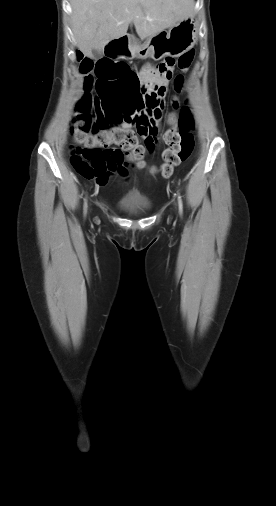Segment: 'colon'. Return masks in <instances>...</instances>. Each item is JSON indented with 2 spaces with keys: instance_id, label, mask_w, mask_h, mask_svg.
Listing matches in <instances>:
<instances>
[{
  "instance_id": "5ec220e1",
  "label": "colon",
  "mask_w": 276,
  "mask_h": 506,
  "mask_svg": "<svg viewBox=\"0 0 276 506\" xmlns=\"http://www.w3.org/2000/svg\"><path fill=\"white\" fill-rule=\"evenodd\" d=\"M70 57L78 59L79 72L83 76L85 92L79 97L71 130L76 147L72 148L70 162L74 170L87 179L97 178L108 167L112 156L125 157L135 168L145 166L143 157L147 150L153 148L156 135L151 133L152 118L163 103L166 93L163 87L138 80L142 77L140 69H127V60L133 58H104L102 54L97 62L85 50L70 52ZM194 50L183 53L177 60L182 72L191 67ZM175 64L173 58H167L158 65V70L168 79L172 76ZM95 70V77L91 71ZM184 76L178 74L173 81L174 89L180 92ZM95 85L98 97H92L88 91ZM172 105L179 113L171 112L167 117L170 128L163 134L167 149L163 152V164L159 172L169 178L175 166L188 160L194 150V120L188 107H180L176 98ZM117 123L135 125L139 134H147L145 145L138 142L134 131L127 128L113 127ZM118 145L119 149L111 147ZM152 172H157L153 168Z\"/></svg>"
}]
</instances>
